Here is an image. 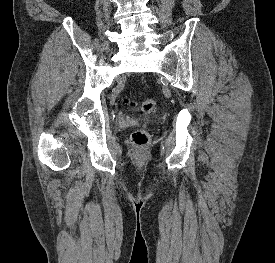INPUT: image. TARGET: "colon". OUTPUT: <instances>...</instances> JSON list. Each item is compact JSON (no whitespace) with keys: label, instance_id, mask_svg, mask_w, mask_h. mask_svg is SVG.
Returning <instances> with one entry per match:
<instances>
[{"label":"colon","instance_id":"1","mask_svg":"<svg viewBox=\"0 0 275 263\" xmlns=\"http://www.w3.org/2000/svg\"><path fill=\"white\" fill-rule=\"evenodd\" d=\"M125 102L132 107L138 105L131 97H125ZM139 108L144 114H152L156 111L157 103L153 98H146L140 102ZM131 142L136 147H145L151 142V134L144 129L136 130L131 135Z\"/></svg>","mask_w":275,"mask_h":263}]
</instances>
